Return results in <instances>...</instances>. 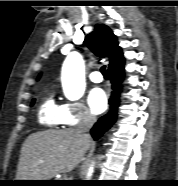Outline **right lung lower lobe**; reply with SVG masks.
Here are the masks:
<instances>
[{"mask_svg":"<svg viewBox=\"0 0 178 186\" xmlns=\"http://www.w3.org/2000/svg\"><path fill=\"white\" fill-rule=\"evenodd\" d=\"M107 74L112 83V94L109 99L110 110L106 115L101 117L91 129V134L95 140H98L116 121L121 82L124 77V64L116 68L108 69Z\"/></svg>","mask_w":178,"mask_h":186,"instance_id":"right-lung-lower-lobe-1","label":"right lung lower lobe"}]
</instances>
